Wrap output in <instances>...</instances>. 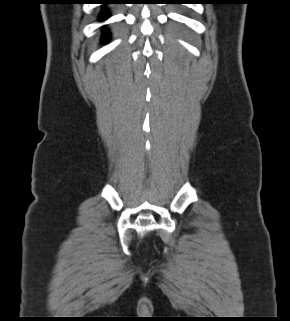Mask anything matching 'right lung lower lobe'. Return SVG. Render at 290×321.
<instances>
[{
	"label": "right lung lower lobe",
	"instance_id": "right-lung-lower-lobe-1",
	"mask_svg": "<svg viewBox=\"0 0 290 321\" xmlns=\"http://www.w3.org/2000/svg\"><path fill=\"white\" fill-rule=\"evenodd\" d=\"M99 2L98 3H101V4H109V3H112L111 1L109 0H98ZM108 15H107V12L104 10L101 14V18L100 19H105L107 18Z\"/></svg>",
	"mask_w": 290,
	"mask_h": 321
}]
</instances>
